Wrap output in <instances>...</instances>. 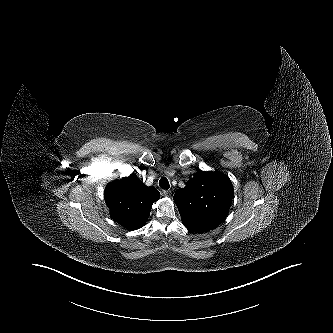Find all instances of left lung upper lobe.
Returning a JSON list of instances; mask_svg holds the SVG:
<instances>
[{"mask_svg": "<svg viewBox=\"0 0 333 333\" xmlns=\"http://www.w3.org/2000/svg\"><path fill=\"white\" fill-rule=\"evenodd\" d=\"M233 194L228 176L199 169L184 188L175 192L174 201L184 226L193 232L204 233L225 220Z\"/></svg>", "mask_w": 333, "mask_h": 333, "instance_id": "obj_1", "label": "left lung upper lobe"}]
</instances>
